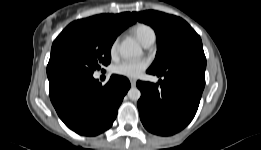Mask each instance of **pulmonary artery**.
Segmentation results:
<instances>
[{
	"instance_id": "obj_1",
	"label": "pulmonary artery",
	"mask_w": 261,
	"mask_h": 150,
	"mask_svg": "<svg viewBox=\"0 0 261 150\" xmlns=\"http://www.w3.org/2000/svg\"><path fill=\"white\" fill-rule=\"evenodd\" d=\"M154 41H155V36H152L143 44V46L149 48L150 46L153 45Z\"/></svg>"
}]
</instances>
